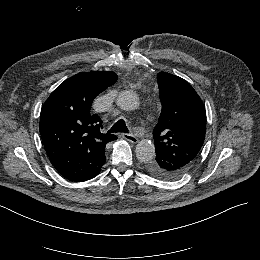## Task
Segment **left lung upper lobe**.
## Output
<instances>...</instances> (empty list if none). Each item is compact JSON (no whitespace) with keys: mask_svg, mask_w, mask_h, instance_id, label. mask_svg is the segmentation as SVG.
I'll return each mask as SVG.
<instances>
[{"mask_svg":"<svg viewBox=\"0 0 260 260\" xmlns=\"http://www.w3.org/2000/svg\"><path fill=\"white\" fill-rule=\"evenodd\" d=\"M162 112L154 128L156 158L147 171L162 179H176L198 157L206 132L204 105L184 79L165 72L158 74Z\"/></svg>","mask_w":260,"mask_h":260,"instance_id":"obj_1","label":"left lung upper lobe"}]
</instances>
